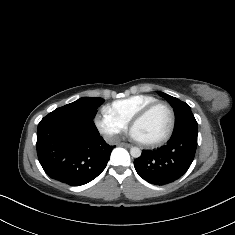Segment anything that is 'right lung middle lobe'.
Listing matches in <instances>:
<instances>
[{"label":"right lung middle lobe","mask_w":235,"mask_h":235,"mask_svg":"<svg viewBox=\"0 0 235 235\" xmlns=\"http://www.w3.org/2000/svg\"><path fill=\"white\" fill-rule=\"evenodd\" d=\"M104 102L100 97H83L75 102L67 104L58 108L59 110H66L83 115L87 118L93 119L97 112V108Z\"/></svg>","instance_id":"dd1d6c3e"}]
</instances>
